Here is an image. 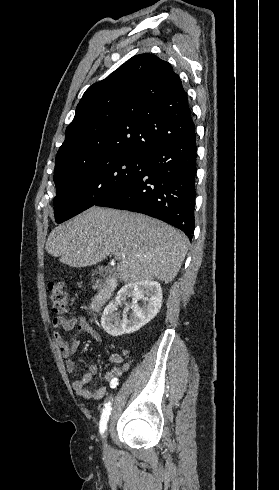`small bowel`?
<instances>
[{
	"mask_svg": "<svg viewBox=\"0 0 279 490\" xmlns=\"http://www.w3.org/2000/svg\"><path fill=\"white\" fill-rule=\"evenodd\" d=\"M51 329L53 340L57 344L63 358L66 361V368L68 372L72 375H77L79 373V365L73 360V355L78 346V340L75 337L71 342H69L64 337L63 332L72 331L75 329L78 334H86L96 342L101 341V334L82 315L73 317H68L65 315L56 316L51 321ZM128 356L129 352L126 350L110 355V361L112 363H121L122 365L114 366L106 373L104 380L107 386L111 388L118 386L120 377L130 367L129 362H124V358ZM97 374L98 367L96 365H92L88 372L73 382V389L78 397L86 400H99L105 396L107 392L106 386H88L94 377L97 376Z\"/></svg>",
	"mask_w": 279,
	"mask_h": 490,
	"instance_id": "small-bowel-1",
	"label": "small bowel"
}]
</instances>
